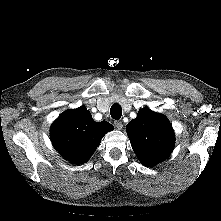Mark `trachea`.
I'll return each mask as SVG.
<instances>
[{
    "mask_svg": "<svg viewBox=\"0 0 221 221\" xmlns=\"http://www.w3.org/2000/svg\"><path fill=\"white\" fill-rule=\"evenodd\" d=\"M110 114L113 119H120L122 116V108L118 103H114L110 108Z\"/></svg>",
    "mask_w": 221,
    "mask_h": 221,
    "instance_id": "3493384b",
    "label": "trachea"
}]
</instances>
